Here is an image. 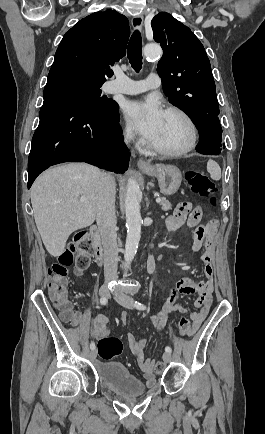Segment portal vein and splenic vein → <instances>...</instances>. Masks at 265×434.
<instances>
[{"instance_id":"obj_1","label":"portal vein and splenic vein","mask_w":265,"mask_h":434,"mask_svg":"<svg viewBox=\"0 0 265 434\" xmlns=\"http://www.w3.org/2000/svg\"><path fill=\"white\" fill-rule=\"evenodd\" d=\"M80 202H85V198H80ZM156 202H157V204H159L160 198H157Z\"/></svg>"}]
</instances>
